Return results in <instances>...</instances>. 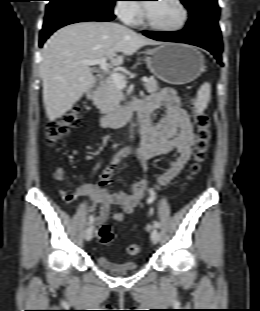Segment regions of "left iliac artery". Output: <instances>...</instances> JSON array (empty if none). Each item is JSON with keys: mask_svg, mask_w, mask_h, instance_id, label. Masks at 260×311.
<instances>
[{"mask_svg": "<svg viewBox=\"0 0 260 311\" xmlns=\"http://www.w3.org/2000/svg\"><path fill=\"white\" fill-rule=\"evenodd\" d=\"M154 226H155L156 228H160L159 222H158V221H155V222H154Z\"/></svg>", "mask_w": 260, "mask_h": 311, "instance_id": "left-iliac-artery-1", "label": "left iliac artery"}]
</instances>
